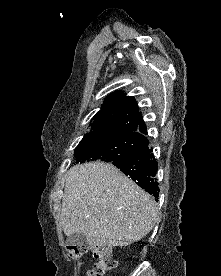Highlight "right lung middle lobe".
I'll list each match as a JSON object with an SVG mask.
<instances>
[{
    "mask_svg": "<svg viewBox=\"0 0 221 276\" xmlns=\"http://www.w3.org/2000/svg\"><path fill=\"white\" fill-rule=\"evenodd\" d=\"M145 143V138L110 133L82 139L75 149L76 163L102 160L112 162L125 158Z\"/></svg>",
    "mask_w": 221,
    "mask_h": 276,
    "instance_id": "1",
    "label": "right lung middle lobe"
}]
</instances>
